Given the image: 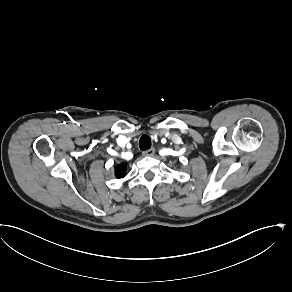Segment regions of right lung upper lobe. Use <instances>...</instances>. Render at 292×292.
I'll return each instance as SVG.
<instances>
[{
	"label": "right lung upper lobe",
	"mask_w": 292,
	"mask_h": 292,
	"mask_svg": "<svg viewBox=\"0 0 292 292\" xmlns=\"http://www.w3.org/2000/svg\"><path fill=\"white\" fill-rule=\"evenodd\" d=\"M126 169H127V165L126 164H123V163L117 164L115 166V176L117 178H119V179L120 178H124L125 175H126Z\"/></svg>",
	"instance_id": "obj_1"
}]
</instances>
